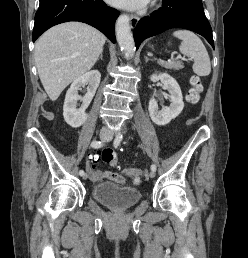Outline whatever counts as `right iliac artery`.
Returning <instances> with one entry per match:
<instances>
[{
	"label": "right iliac artery",
	"instance_id": "1",
	"mask_svg": "<svg viewBox=\"0 0 248 258\" xmlns=\"http://www.w3.org/2000/svg\"><path fill=\"white\" fill-rule=\"evenodd\" d=\"M103 145H104V142L96 141V140L92 141V143H91V146H92L93 148H101ZM84 174H85V173H84L83 170H80V171H79V175H80V176H83Z\"/></svg>",
	"mask_w": 248,
	"mask_h": 258
}]
</instances>
